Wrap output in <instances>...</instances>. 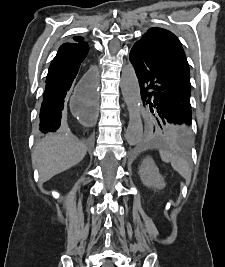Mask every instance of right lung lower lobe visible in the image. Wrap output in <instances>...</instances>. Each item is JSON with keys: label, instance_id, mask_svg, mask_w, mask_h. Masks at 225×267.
I'll return each instance as SVG.
<instances>
[{"label": "right lung lower lobe", "instance_id": "obj_1", "mask_svg": "<svg viewBox=\"0 0 225 267\" xmlns=\"http://www.w3.org/2000/svg\"><path fill=\"white\" fill-rule=\"evenodd\" d=\"M88 51V45L84 41L64 43L60 46L46 78L40 109V135L54 134L62 130L64 102L86 63ZM88 98L92 101L95 98L94 82H91Z\"/></svg>", "mask_w": 225, "mask_h": 267}]
</instances>
